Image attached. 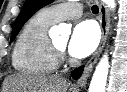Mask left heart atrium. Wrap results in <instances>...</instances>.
<instances>
[{
  "label": "left heart atrium",
  "instance_id": "39dd6f15",
  "mask_svg": "<svg viewBox=\"0 0 127 92\" xmlns=\"http://www.w3.org/2000/svg\"><path fill=\"white\" fill-rule=\"evenodd\" d=\"M99 38L97 25L90 20L82 21L73 29L68 43V51L75 58H84L96 49Z\"/></svg>",
  "mask_w": 127,
  "mask_h": 92
}]
</instances>
